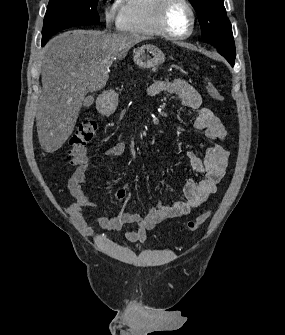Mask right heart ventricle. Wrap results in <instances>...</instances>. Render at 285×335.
I'll list each match as a JSON object with an SVG mask.
<instances>
[{"label":"right heart ventricle","mask_w":285,"mask_h":335,"mask_svg":"<svg viewBox=\"0 0 285 335\" xmlns=\"http://www.w3.org/2000/svg\"><path fill=\"white\" fill-rule=\"evenodd\" d=\"M160 5L161 1H131L133 15L126 26L140 38H165L158 21Z\"/></svg>","instance_id":"obj_1"}]
</instances>
